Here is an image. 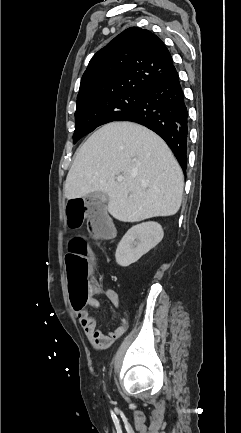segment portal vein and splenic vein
<instances>
[{
  "label": "portal vein and splenic vein",
  "instance_id": "1",
  "mask_svg": "<svg viewBox=\"0 0 241 433\" xmlns=\"http://www.w3.org/2000/svg\"><path fill=\"white\" fill-rule=\"evenodd\" d=\"M122 179H123V178H122L121 176H118V177H117V181H118V182H121Z\"/></svg>",
  "mask_w": 241,
  "mask_h": 433
}]
</instances>
